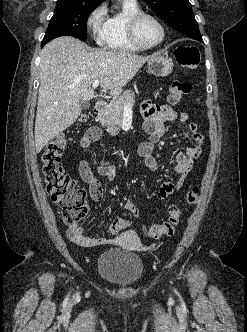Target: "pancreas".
<instances>
[{
    "label": "pancreas",
    "instance_id": "cf45deb5",
    "mask_svg": "<svg viewBox=\"0 0 247 332\" xmlns=\"http://www.w3.org/2000/svg\"><path fill=\"white\" fill-rule=\"evenodd\" d=\"M134 103V91L127 90L118 99L112 101L99 115L101 125L107 127V132L110 135L115 136L119 133L124 116V105L132 108Z\"/></svg>",
    "mask_w": 247,
    "mask_h": 332
}]
</instances>
